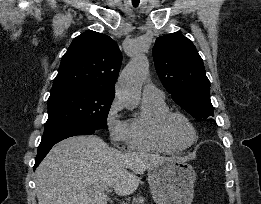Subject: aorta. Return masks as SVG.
Instances as JSON below:
<instances>
[{
	"mask_svg": "<svg viewBox=\"0 0 261 204\" xmlns=\"http://www.w3.org/2000/svg\"><path fill=\"white\" fill-rule=\"evenodd\" d=\"M149 62L145 54H137L121 72L116 95L129 110L139 105L141 85L148 73Z\"/></svg>",
	"mask_w": 261,
	"mask_h": 204,
	"instance_id": "aorta-1",
	"label": "aorta"
}]
</instances>
